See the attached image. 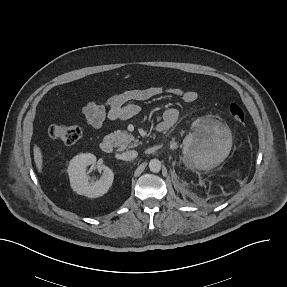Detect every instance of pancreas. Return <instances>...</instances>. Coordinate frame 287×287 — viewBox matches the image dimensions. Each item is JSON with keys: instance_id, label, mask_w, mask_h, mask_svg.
I'll return each mask as SVG.
<instances>
[{"instance_id": "obj_1", "label": "pancreas", "mask_w": 287, "mask_h": 287, "mask_svg": "<svg viewBox=\"0 0 287 287\" xmlns=\"http://www.w3.org/2000/svg\"><path fill=\"white\" fill-rule=\"evenodd\" d=\"M110 136L120 151L125 150L126 148H134L139 145L138 140L126 131L118 130L111 133Z\"/></svg>"}]
</instances>
